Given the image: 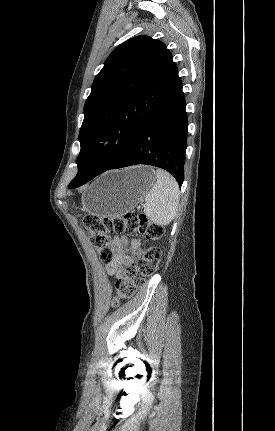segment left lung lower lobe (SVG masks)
I'll return each instance as SVG.
<instances>
[{
	"mask_svg": "<svg viewBox=\"0 0 275 431\" xmlns=\"http://www.w3.org/2000/svg\"><path fill=\"white\" fill-rule=\"evenodd\" d=\"M185 107L182 82L177 73L171 90L119 158L111 166L93 175H88V173L77 174L70 182L69 188H77L107 170L137 164L163 168L171 173L181 186L184 179L188 128Z\"/></svg>",
	"mask_w": 275,
	"mask_h": 431,
	"instance_id": "left-lung-lower-lobe-1",
	"label": "left lung lower lobe"
}]
</instances>
